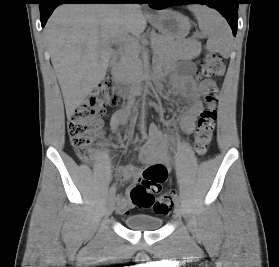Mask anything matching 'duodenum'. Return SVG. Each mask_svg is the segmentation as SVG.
I'll list each match as a JSON object with an SVG mask.
<instances>
[{"label":"duodenum","mask_w":279,"mask_h":267,"mask_svg":"<svg viewBox=\"0 0 279 267\" xmlns=\"http://www.w3.org/2000/svg\"><path fill=\"white\" fill-rule=\"evenodd\" d=\"M110 76L117 85L120 95L127 99L130 104L133 103L136 96L141 95L145 91L149 81V78L145 77L135 83H127L124 79L123 67L120 62L112 66Z\"/></svg>","instance_id":"410a0bca"}]
</instances>
